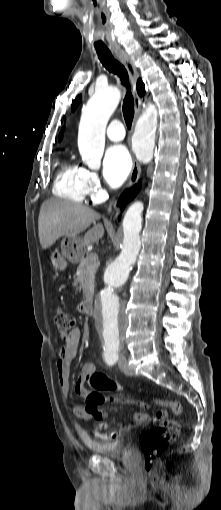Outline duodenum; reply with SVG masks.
<instances>
[{
    "mask_svg": "<svg viewBox=\"0 0 221 510\" xmlns=\"http://www.w3.org/2000/svg\"><path fill=\"white\" fill-rule=\"evenodd\" d=\"M95 297L88 299L83 305V311L87 315H91L94 309Z\"/></svg>",
    "mask_w": 221,
    "mask_h": 510,
    "instance_id": "duodenum-1",
    "label": "duodenum"
}]
</instances>
